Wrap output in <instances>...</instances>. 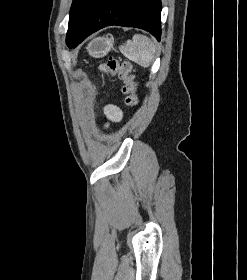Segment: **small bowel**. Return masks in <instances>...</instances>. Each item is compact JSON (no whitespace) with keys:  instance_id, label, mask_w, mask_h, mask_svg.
I'll return each instance as SVG.
<instances>
[{"instance_id":"obj_1","label":"small bowel","mask_w":247,"mask_h":280,"mask_svg":"<svg viewBox=\"0 0 247 280\" xmlns=\"http://www.w3.org/2000/svg\"><path fill=\"white\" fill-rule=\"evenodd\" d=\"M104 113L108 119L114 122H119L122 118L121 110L115 105H108L104 109Z\"/></svg>"}]
</instances>
